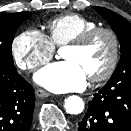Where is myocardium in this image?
Returning <instances> with one entry per match:
<instances>
[{
	"mask_svg": "<svg viewBox=\"0 0 131 131\" xmlns=\"http://www.w3.org/2000/svg\"><path fill=\"white\" fill-rule=\"evenodd\" d=\"M99 34H105L110 38L112 44V53L109 63L105 67V69L101 73L88 78L89 81L92 83H98L107 80L108 78L111 77V75L116 70L121 54V44L117 33L109 27H94L92 29L83 32L74 40L67 43L64 47V48H76V49L83 48L95 36Z\"/></svg>",
	"mask_w": 131,
	"mask_h": 131,
	"instance_id": "f54148a6",
	"label": "myocardium"
}]
</instances>
